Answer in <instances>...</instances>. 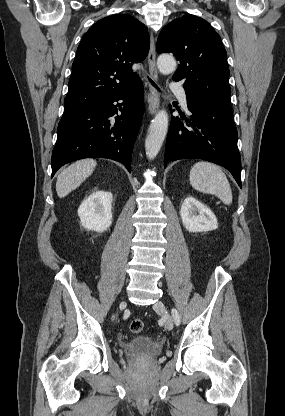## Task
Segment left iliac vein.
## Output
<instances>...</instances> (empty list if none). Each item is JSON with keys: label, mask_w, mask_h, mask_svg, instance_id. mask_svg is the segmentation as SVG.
Here are the masks:
<instances>
[{"label": "left iliac vein", "mask_w": 285, "mask_h": 416, "mask_svg": "<svg viewBox=\"0 0 285 416\" xmlns=\"http://www.w3.org/2000/svg\"><path fill=\"white\" fill-rule=\"evenodd\" d=\"M154 310H156L157 312H159L161 315H163L165 317V328L166 330L170 331L173 329V319L172 316L169 315L166 311V306L164 304L163 301L158 300L156 301V303L153 305Z\"/></svg>", "instance_id": "obj_1"}]
</instances>
